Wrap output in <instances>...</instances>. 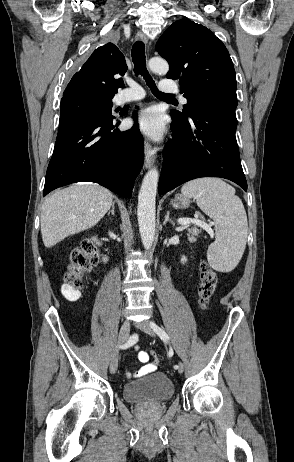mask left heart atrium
<instances>
[{
  "mask_svg": "<svg viewBox=\"0 0 294 462\" xmlns=\"http://www.w3.org/2000/svg\"><path fill=\"white\" fill-rule=\"evenodd\" d=\"M135 125L145 135L159 139L164 133V124L160 113L155 108H147L133 120Z\"/></svg>",
  "mask_w": 294,
  "mask_h": 462,
  "instance_id": "39dd6f15",
  "label": "left heart atrium"
}]
</instances>
